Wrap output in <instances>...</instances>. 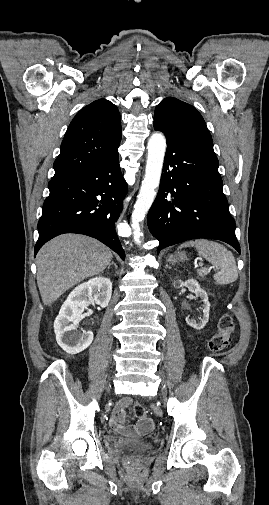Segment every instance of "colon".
I'll return each instance as SVG.
<instances>
[{"label":"colon","mask_w":269,"mask_h":505,"mask_svg":"<svg viewBox=\"0 0 269 505\" xmlns=\"http://www.w3.org/2000/svg\"><path fill=\"white\" fill-rule=\"evenodd\" d=\"M236 325L233 316L230 313H225L219 321L218 332L212 336L208 343V349L212 353L222 352L228 347L231 338L235 333ZM134 414L138 418H144L146 410L143 405L136 404L134 406Z\"/></svg>","instance_id":"5ec220e1"}]
</instances>
